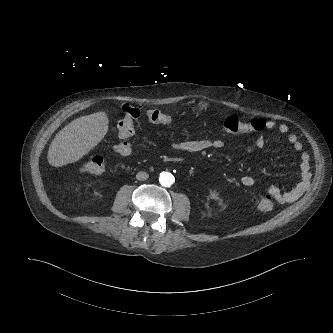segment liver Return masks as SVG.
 Listing matches in <instances>:
<instances>
[{"instance_id":"6515ba94","label":"liver","mask_w":333,"mask_h":333,"mask_svg":"<svg viewBox=\"0 0 333 333\" xmlns=\"http://www.w3.org/2000/svg\"><path fill=\"white\" fill-rule=\"evenodd\" d=\"M108 124L104 111L73 120L51 142L47 155L49 164L61 167L80 160L104 138Z\"/></svg>"}]
</instances>
